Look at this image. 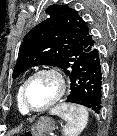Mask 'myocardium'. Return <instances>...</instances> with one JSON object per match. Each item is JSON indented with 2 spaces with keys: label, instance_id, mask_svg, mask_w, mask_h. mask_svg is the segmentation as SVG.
<instances>
[{
  "label": "myocardium",
  "instance_id": "f54148a6",
  "mask_svg": "<svg viewBox=\"0 0 117 136\" xmlns=\"http://www.w3.org/2000/svg\"><path fill=\"white\" fill-rule=\"evenodd\" d=\"M40 75H49L56 80L58 91L55 97L43 108L34 109L32 108L27 101V88L29 83L37 76ZM66 81L64 76L56 69L53 68H42L35 72H33L23 83L22 90H21V101L24 108L27 110L28 113H43L53 107L56 103H58L61 98L64 96L66 92Z\"/></svg>",
  "mask_w": 117,
  "mask_h": 136
}]
</instances>
